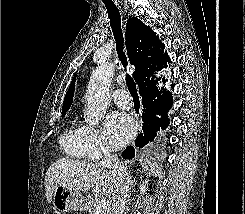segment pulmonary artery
Instances as JSON below:
<instances>
[{
    "mask_svg": "<svg viewBox=\"0 0 245 214\" xmlns=\"http://www.w3.org/2000/svg\"><path fill=\"white\" fill-rule=\"evenodd\" d=\"M113 101L122 108L129 109L133 105L131 95L125 90H115L112 93Z\"/></svg>",
    "mask_w": 245,
    "mask_h": 214,
    "instance_id": "obj_1",
    "label": "pulmonary artery"
}]
</instances>
